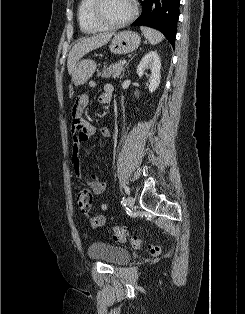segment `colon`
<instances>
[{
  "label": "colon",
  "instance_id": "colon-1",
  "mask_svg": "<svg viewBox=\"0 0 245 314\" xmlns=\"http://www.w3.org/2000/svg\"><path fill=\"white\" fill-rule=\"evenodd\" d=\"M77 204L81 212L88 213L90 212L92 205V194L91 191L87 188H82L77 193ZM113 239L118 242H126L129 241L132 247L136 249H140L145 247V244L139 237H130L126 229L122 226H113ZM153 256H158L161 252V248L159 245L149 244L146 246Z\"/></svg>",
  "mask_w": 245,
  "mask_h": 314
}]
</instances>
